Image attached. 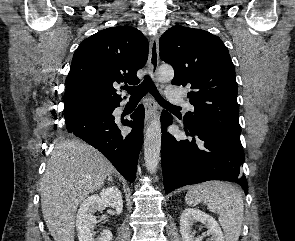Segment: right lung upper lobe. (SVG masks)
Segmentation results:
<instances>
[{
  "label": "right lung upper lobe",
  "instance_id": "right-lung-upper-lobe-1",
  "mask_svg": "<svg viewBox=\"0 0 295 241\" xmlns=\"http://www.w3.org/2000/svg\"><path fill=\"white\" fill-rule=\"evenodd\" d=\"M148 41L131 26L111 27L83 40L66 78L65 114L122 101L115 85L138 84L148 57Z\"/></svg>",
  "mask_w": 295,
  "mask_h": 241
}]
</instances>
